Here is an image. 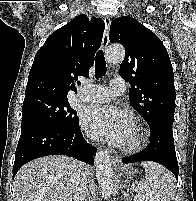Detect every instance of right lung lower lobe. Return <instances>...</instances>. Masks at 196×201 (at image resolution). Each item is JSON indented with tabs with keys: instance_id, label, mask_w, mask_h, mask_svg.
Returning <instances> with one entry per match:
<instances>
[{
	"instance_id": "98d812e1",
	"label": "right lung lower lobe",
	"mask_w": 196,
	"mask_h": 201,
	"mask_svg": "<svg viewBox=\"0 0 196 201\" xmlns=\"http://www.w3.org/2000/svg\"><path fill=\"white\" fill-rule=\"evenodd\" d=\"M96 151L84 140L79 124L71 129L43 124L28 125L21 130L13 177L25 163L46 155H66L93 165Z\"/></svg>"
}]
</instances>
